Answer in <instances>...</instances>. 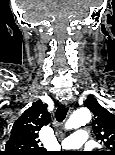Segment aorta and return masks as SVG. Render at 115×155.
I'll use <instances>...</instances> for the list:
<instances>
[{
  "label": "aorta",
  "mask_w": 115,
  "mask_h": 155,
  "mask_svg": "<svg viewBox=\"0 0 115 155\" xmlns=\"http://www.w3.org/2000/svg\"><path fill=\"white\" fill-rule=\"evenodd\" d=\"M91 120V113L87 108L76 110L65 124L66 129H75L86 125Z\"/></svg>",
  "instance_id": "762f6f07"
}]
</instances>
